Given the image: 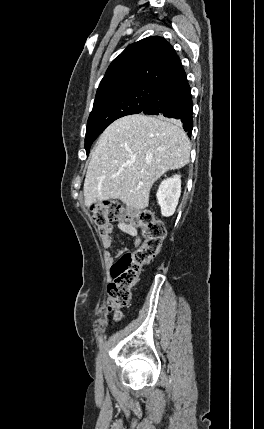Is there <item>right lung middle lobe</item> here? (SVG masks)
Masks as SVG:
<instances>
[{
  "instance_id": "obj_1",
  "label": "right lung middle lobe",
  "mask_w": 264,
  "mask_h": 429,
  "mask_svg": "<svg viewBox=\"0 0 264 429\" xmlns=\"http://www.w3.org/2000/svg\"><path fill=\"white\" fill-rule=\"evenodd\" d=\"M158 86L138 84L114 90L95 98L85 137L86 153L93 141L116 119L142 112Z\"/></svg>"
}]
</instances>
